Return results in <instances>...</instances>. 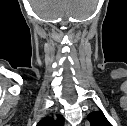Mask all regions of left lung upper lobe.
I'll return each mask as SVG.
<instances>
[{
	"label": "left lung upper lobe",
	"instance_id": "1",
	"mask_svg": "<svg viewBox=\"0 0 127 126\" xmlns=\"http://www.w3.org/2000/svg\"><path fill=\"white\" fill-rule=\"evenodd\" d=\"M91 126H112L101 112H92L87 116Z\"/></svg>",
	"mask_w": 127,
	"mask_h": 126
}]
</instances>
